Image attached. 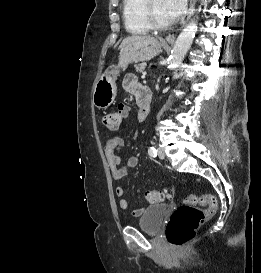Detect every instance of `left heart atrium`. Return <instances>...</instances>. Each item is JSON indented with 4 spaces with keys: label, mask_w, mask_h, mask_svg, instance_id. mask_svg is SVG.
Wrapping results in <instances>:
<instances>
[{
    "label": "left heart atrium",
    "mask_w": 261,
    "mask_h": 273,
    "mask_svg": "<svg viewBox=\"0 0 261 273\" xmlns=\"http://www.w3.org/2000/svg\"><path fill=\"white\" fill-rule=\"evenodd\" d=\"M187 0H164L170 22L177 21L186 10Z\"/></svg>",
    "instance_id": "left-heart-atrium-1"
}]
</instances>
